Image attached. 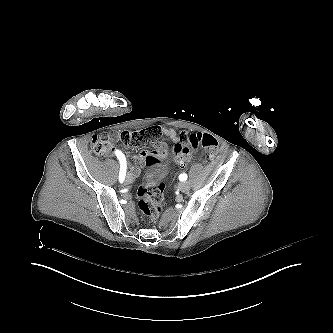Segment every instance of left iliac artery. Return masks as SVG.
Masks as SVG:
<instances>
[{"label": "left iliac artery", "mask_w": 333, "mask_h": 333, "mask_svg": "<svg viewBox=\"0 0 333 333\" xmlns=\"http://www.w3.org/2000/svg\"><path fill=\"white\" fill-rule=\"evenodd\" d=\"M179 180H180V181H185V180H187V174H185V173L180 174V175H179Z\"/></svg>", "instance_id": "obj_1"}]
</instances>
